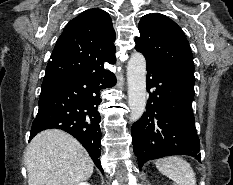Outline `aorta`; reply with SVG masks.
<instances>
[{"instance_id": "762f6f07", "label": "aorta", "mask_w": 233, "mask_h": 185, "mask_svg": "<svg viewBox=\"0 0 233 185\" xmlns=\"http://www.w3.org/2000/svg\"><path fill=\"white\" fill-rule=\"evenodd\" d=\"M127 85L130 120L136 122L143 115L147 102L146 60L139 52L133 53L128 61Z\"/></svg>"}]
</instances>
